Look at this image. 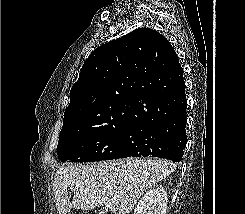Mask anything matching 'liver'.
<instances>
[{
  "mask_svg": "<svg viewBox=\"0 0 245 214\" xmlns=\"http://www.w3.org/2000/svg\"><path fill=\"white\" fill-rule=\"evenodd\" d=\"M175 168L166 160L133 158L63 166L53 182L57 211L67 214L72 208L87 211L105 205L113 214H129L143 193ZM68 189L74 193L72 202Z\"/></svg>",
  "mask_w": 245,
  "mask_h": 214,
  "instance_id": "obj_1",
  "label": "liver"
}]
</instances>
